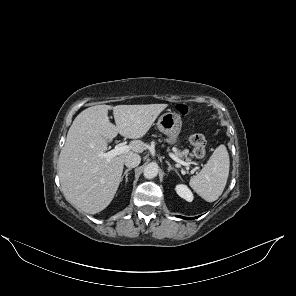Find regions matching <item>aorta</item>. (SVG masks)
Masks as SVG:
<instances>
[{"instance_id": "aorta-1", "label": "aorta", "mask_w": 296, "mask_h": 296, "mask_svg": "<svg viewBox=\"0 0 296 296\" xmlns=\"http://www.w3.org/2000/svg\"><path fill=\"white\" fill-rule=\"evenodd\" d=\"M158 174V165L156 163H149L144 168V176L148 179L156 177Z\"/></svg>"}]
</instances>
